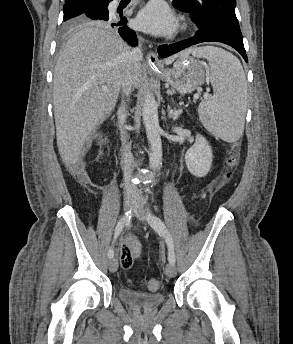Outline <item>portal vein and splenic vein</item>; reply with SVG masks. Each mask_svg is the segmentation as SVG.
Returning <instances> with one entry per match:
<instances>
[{
	"mask_svg": "<svg viewBox=\"0 0 293 344\" xmlns=\"http://www.w3.org/2000/svg\"><path fill=\"white\" fill-rule=\"evenodd\" d=\"M104 91H106L105 89H104ZM199 96L198 95H195L194 96V98H198ZM209 97V93L208 92H206L205 94H204V98L206 99V98H208Z\"/></svg>",
	"mask_w": 293,
	"mask_h": 344,
	"instance_id": "18ae733b",
	"label": "portal vein and splenic vein"
}]
</instances>
